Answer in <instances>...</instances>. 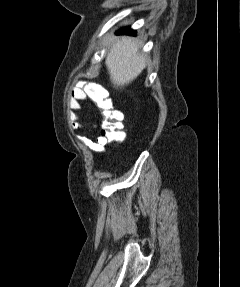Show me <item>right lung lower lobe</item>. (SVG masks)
I'll return each instance as SVG.
<instances>
[{"instance_id":"obj_1","label":"right lung lower lobe","mask_w":240,"mask_h":287,"mask_svg":"<svg viewBox=\"0 0 240 287\" xmlns=\"http://www.w3.org/2000/svg\"><path fill=\"white\" fill-rule=\"evenodd\" d=\"M118 33H119V34H121V33H127V34H132V35H134V34H135V31L131 30L129 27H126V28H122Z\"/></svg>"}]
</instances>
